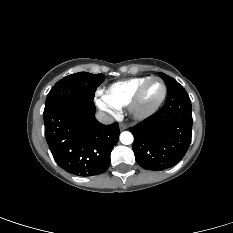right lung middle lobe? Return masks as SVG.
Returning <instances> with one entry per match:
<instances>
[{"label": "right lung middle lobe", "mask_w": 233, "mask_h": 233, "mask_svg": "<svg viewBox=\"0 0 233 233\" xmlns=\"http://www.w3.org/2000/svg\"><path fill=\"white\" fill-rule=\"evenodd\" d=\"M104 81L102 74H90L79 72L66 76L58 81L49 92L45 110H49L56 105L77 98H94L96 88Z\"/></svg>", "instance_id": "right-lung-middle-lobe-1"}]
</instances>
